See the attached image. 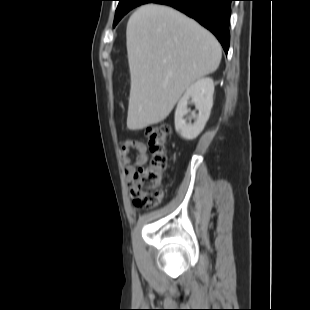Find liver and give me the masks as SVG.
Wrapping results in <instances>:
<instances>
[{
  "label": "liver",
  "instance_id": "1",
  "mask_svg": "<svg viewBox=\"0 0 310 310\" xmlns=\"http://www.w3.org/2000/svg\"><path fill=\"white\" fill-rule=\"evenodd\" d=\"M131 87L127 127L141 130L166 119L196 80L215 72L222 50L193 19L167 6L147 4L126 29Z\"/></svg>",
  "mask_w": 310,
  "mask_h": 310
}]
</instances>
